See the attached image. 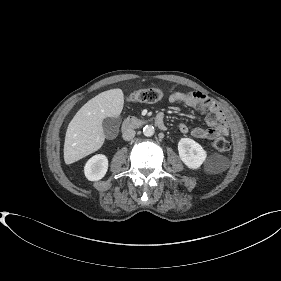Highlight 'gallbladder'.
<instances>
[{
	"label": "gallbladder",
	"instance_id": "gallbladder-1",
	"mask_svg": "<svg viewBox=\"0 0 281 281\" xmlns=\"http://www.w3.org/2000/svg\"><path fill=\"white\" fill-rule=\"evenodd\" d=\"M121 120L119 117H107L102 122L104 135L106 138H113L116 136Z\"/></svg>",
	"mask_w": 281,
	"mask_h": 281
}]
</instances>
